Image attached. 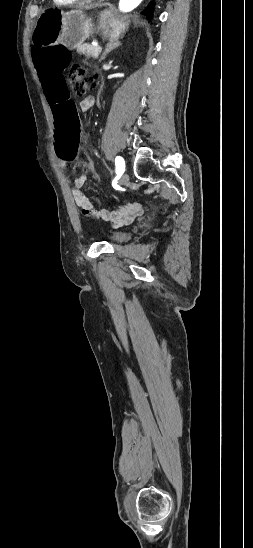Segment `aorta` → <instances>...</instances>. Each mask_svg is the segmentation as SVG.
<instances>
[{"mask_svg": "<svg viewBox=\"0 0 253 548\" xmlns=\"http://www.w3.org/2000/svg\"><path fill=\"white\" fill-rule=\"evenodd\" d=\"M141 2L142 0H120L119 9L122 12H130L135 9Z\"/></svg>", "mask_w": 253, "mask_h": 548, "instance_id": "762f6f07", "label": "aorta"}]
</instances>
